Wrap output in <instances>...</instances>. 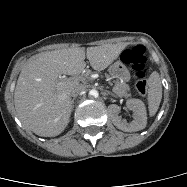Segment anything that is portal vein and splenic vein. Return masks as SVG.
<instances>
[{
    "label": "portal vein and splenic vein",
    "instance_id": "1",
    "mask_svg": "<svg viewBox=\"0 0 187 187\" xmlns=\"http://www.w3.org/2000/svg\"><path fill=\"white\" fill-rule=\"evenodd\" d=\"M60 78L66 79V76H61ZM74 79H78V78L76 77V78H74Z\"/></svg>",
    "mask_w": 187,
    "mask_h": 187
}]
</instances>
